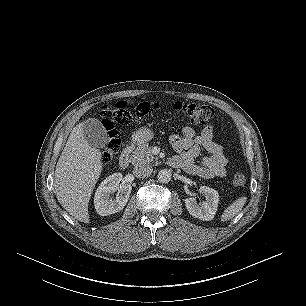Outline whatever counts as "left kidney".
Returning a JSON list of instances; mask_svg holds the SVG:
<instances>
[{"mask_svg":"<svg viewBox=\"0 0 306 306\" xmlns=\"http://www.w3.org/2000/svg\"><path fill=\"white\" fill-rule=\"evenodd\" d=\"M199 191L205 196V201L198 204L195 198H186L185 206L193 217L210 221L216 214L219 194L216 190L207 186H201Z\"/></svg>","mask_w":306,"mask_h":306,"instance_id":"5707ae66","label":"left kidney"}]
</instances>
